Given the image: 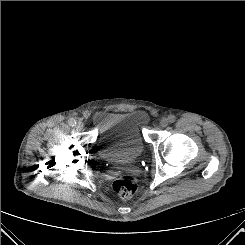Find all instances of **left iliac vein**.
Segmentation results:
<instances>
[{
    "mask_svg": "<svg viewBox=\"0 0 245 245\" xmlns=\"http://www.w3.org/2000/svg\"><path fill=\"white\" fill-rule=\"evenodd\" d=\"M168 123H169V120L167 118H162L160 120V126L163 128L166 127L168 125Z\"/></svg>",
    "mask_w": 245,
    "mask_h": 245,
    "instance_id": "4c4485c4",
    "label": "left iliac vein"
}]
</instances>
